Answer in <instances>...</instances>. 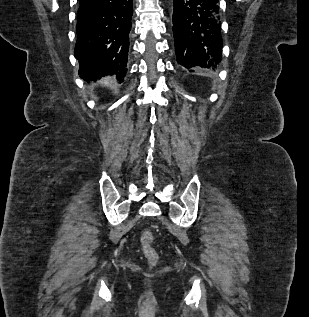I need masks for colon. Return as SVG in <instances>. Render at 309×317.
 Masks as SVG:
<instances>
[{
    "label": "colon",
    "instance_id": "obj_1",
    "mask_svg": "<svg viewBox=\"0 0 309 317\" xmlns=\"http://www.w3.org/2000/svg\"><path fill=\"white\" fill-rule=\"evenodd\" d=\"M140 242H141L144 256L148 260L149 264L151 266H154L158 262L159 255L153 245L154 236L152 232L149 230L143 231L140 235Z\"/></svg>",
    "mask_w": 309,
    "mask_h": 317
}]
</instances>
